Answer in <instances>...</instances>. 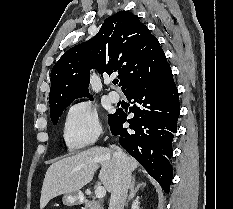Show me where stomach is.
I'll list each match as a JSON object with an SVG mask.
<instances>
[{
    "mask_svg": "<svg viewBox=\"0 0 233 209\" xmlns=\"http://www.w3.org/2000/svg\"><path fill=\"white\" fill-rule=\"evenodd\" d=\"M81 194L79 192L67 193L63 195L62 201L66 206H75L81 202Z\"/></svg>",
    "mask_w": 233,
    "mask_h": 209,
    "instance_id": "stomach-1",
    "label": "stomach"
}]
</instances>
